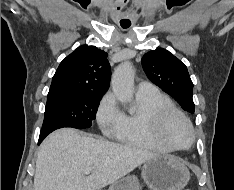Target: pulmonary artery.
Listing matches in <instances>:
<instances>
[{
	"label": "pulmonary artery",
	"mask_w": 234,
	"mask_h": 190,
	"mask_svg": "<svg viewBox=\"0 0 234 190\" xmlns=\"http://www.w3.org/2000/svg\"><path fill=\"white\" fill-rule=\"evenodd\" d=\"M156 90L157 89L153 84H151L149 82H146V81H142L138 85L137 93L146 94V93H152V92H154Z\"/></svg>",
	"instance_id": "e3ab8cb5"
}]
</instances>
